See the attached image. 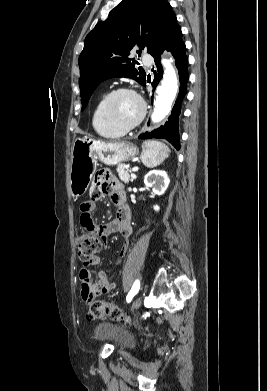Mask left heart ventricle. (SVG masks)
<instances>
[{
  "label": "left heart ventricle",
  "instance_id": "1",
  "mask_svg": "<svg viewBox=\"0 0 267 391\" xmlns=\"http://www.w3.org/2000/svg\"><path fill=\"white\" fill-rule=\"evenodd\" d=\"M112 118L121 125L131 124L140 113V104L131 94L122 93L113 98L110 104Z\"/></svg>",
  "mask_w": 267,
  "mask_h": 391
}]
</instances>
